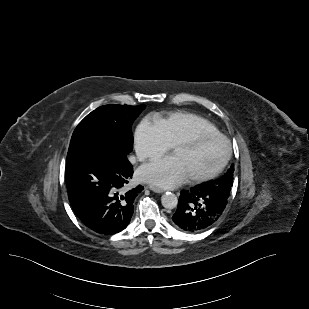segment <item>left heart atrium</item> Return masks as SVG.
I'll return each instance as SVG.
<instances>
[{
  "label": "left heart atrium",
  "mask_w": 309,
  "mask_h": 309,
  "mask_svg": "<svg viewBox=\"0 0 309 309\" xmlns=\"http://www.w3.org/2000/svg\"><path fill=\"white\" fill-rule=\"evenodd\" d=\"M137 176L141 181L162 187L176 186L188 179L182 163L174 155L140 167Z\"/></svg>",
  "instance_id": "left-heart-atrium-1"
}]
</instances>
